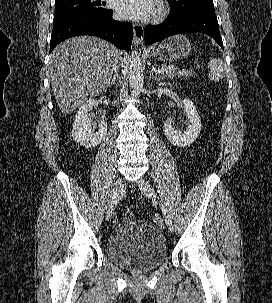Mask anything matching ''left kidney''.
<instances>
[{
    "instance_id": "left-kidney-1",
    "label": "left kidney",
    "mask_w": 272,
    "mask_h": 303,
    "mask_svg": "<svg viewBox=\"0 0 272 303\" xmlns=\"http://www.w3.org/2000/svg\"><path fill=\"white\" fill-rule=\"evenodd\" d=\"M184 108L187 114V128L185 131L174 127L173 120L168 117L164 123V133L167 139L175 146H189L199 136L201 131V120L194 103L185 98Z\"/></svg>"
}]
</instances>
